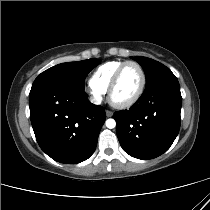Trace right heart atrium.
Listing matches in <instances>:
<instances>
[{
    "instance_id": "d8ad5b80",
    "label": "right heart atrium",
    "mask_w": 210,
    "mask_h": 210,
    "mask_svg": "<svg viewBox=\"0 0 210 210\" xmlns=\"http://www.w3.org/2000/svg\"><path fill=\"white\" fill-rule=\"evenodd\" d=\"M86 92L91 96V98L98 102L101 101V99L103 98V92H101L100 90L96 89L95 87H93L91 84H89L86 87Z\"/></svg>"
}]
</instances>
